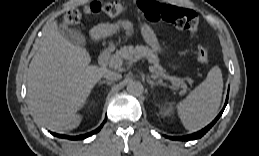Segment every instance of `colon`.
Here are the masks:
<instances>
[{
    "instance_id": "obj_1",
    "label": "colon",
    "mask_w": 259,
    "mask_h": 156,
    "mask_svg": "<svg viewBox=\"0 0 259 156\" xmlns=\"http://www.w3.org/2000/svg\"><path fill=\"white\" fill-rule=\"evenodd\" d=\"M138 5L148 20L165 21L190 33L198 30L197 14L191 9L152 0H140ZM126 10V5L118 1L92 2L82 8L68 10L63 16L62 26L67 28L78 24L89 15L104 14L108 17H117L124 14ZM196 55L200 63H207L209 60L208 44L204 42L198 44Z\"/></svg>"
}]
</instances>
